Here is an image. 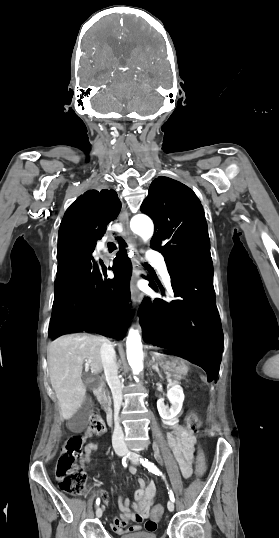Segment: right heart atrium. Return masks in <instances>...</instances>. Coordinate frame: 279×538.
<instances>
[{"label": "right heart atrium", "instance_id": "obj_1", "mask_svg": "<svg viewBox=\"0 0 279 538\" xmlns=\"http://www.w3.org/2000/svg\"><path fill=\"white\" fill-rule=\"evenodd\" d=\"M144 237H147V234H143Z\"/></svg>", "mask_w": 279, "mask_h": 538}]
</instances>
